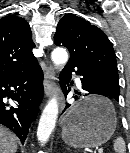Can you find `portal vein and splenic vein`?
<instances>
[{
    "mask_svg": "<svg viewBox=\"0 0 130 153\" xmlns=\"http://www.w3.org/2000/svg\"><path fill=\"white\" fill-rule=\"evenodd\" d=\"M98 153H103V150L102 149H98Z\"/></svg>",
    "mask_w": 130,
    "mask_h": 153,
    "instance_id": "1",
    "label": "portal vein and splenic vein"
}]
</instances>
